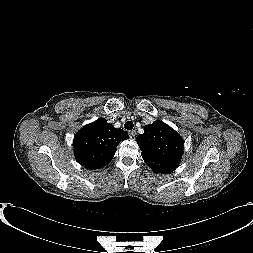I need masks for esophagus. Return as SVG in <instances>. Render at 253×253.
<instances>
[{
  "label": "esophagus",
  "instance_id": "esophagus-1",
  "mask_svg": "<svg viewBox=\"0 0 253 253\" xmlns=\"http://www.w3.org/2000/svg\"><path fill=\"white\" fill-rule=\"evenodd\" d=\"M129 135H130L131 138H135L136 131L135 130L129 131Z\"/></svg>",
  "mask_w": 253,
  "mask_h": 253
}]
</instances>
